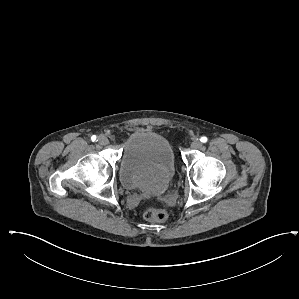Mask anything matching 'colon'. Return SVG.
Listing matches in <instances>:
<instances>
[{"label":"colon","mask_w":299,"mask_h":299,"mask_svg":"<svg viewBox=\"0 0 299 299\" xmlns=\"http://www.w3.org/2000/svg\"><path fill=\"white\" fill-rule=\"evenodd\" d=\"M143 217L151 222L164 223L168 220L166 211L156 208H147L143 212Z\"/></svg>","instance_id":"5ec220e1"}]
</instances>
